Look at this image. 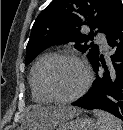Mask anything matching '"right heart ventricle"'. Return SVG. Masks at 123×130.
<instances>
[{"label": "right heart ventricle", "instance_id": "e07e8e85", "mask_svg": "<svg viewBox=\"0 0 123 130\" xmlns=\"http://www.w3.org/2000/svg\"><path fill=\"white\" fill-rule=\"evenodd\" d=\"M53 56L54 54L51 52L43 53L36 59L30 69L29 85L32 93V98L37 103H48L52 101L43 87V72Z\"/></svg>", "mask_w": 123, "mask_h": 130}]
</instances>
